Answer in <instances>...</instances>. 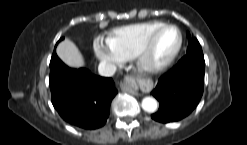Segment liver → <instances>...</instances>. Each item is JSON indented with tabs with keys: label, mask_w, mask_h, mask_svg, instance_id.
Instances as JSON below:
<instances>
[{
	"label": "liver",
	"mask_w": 247,
	"mask_h": 145,
	"mask_svg": "<svg viewBox=\"0 0 247 145\" xmlns=\"http://www.w3.org/2000/svg\"><path fill=\"white\" fill-rule=\"evenodd\" d=\"M58 57L71 68H81L84 66V59L76 45L66 39L62 41L56 49Z\"/></svg>",
	"instance_id": "liver-1"
}]
</instances>
